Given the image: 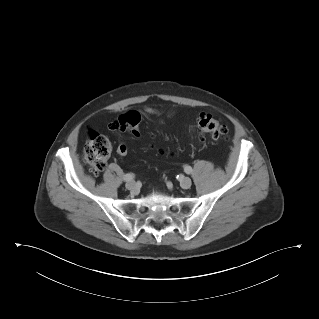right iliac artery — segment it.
<instances>
[{"label": "right iliac artery", "mask_w": 319, "mask_h": 319, "mask_svg": "<svg viewBox=\"0 0 319 319\" xmlns=\"http://www.w3.org/2000/svg\"><path fill=\"white\" fill-rule=\"evenodd\" d=\"M133 178H134V174L133 173H127L123 177L124 181H131Z\"/></svg>", "instance_id": "82829eb1"}]
</instances>
